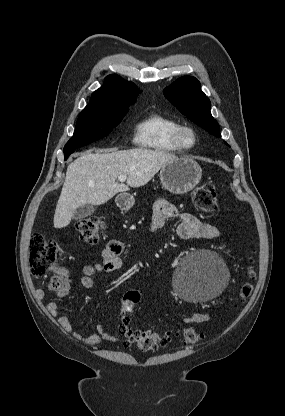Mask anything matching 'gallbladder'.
<instances>
[{
	"label": "gallbladder",
	"mask_w": 285,
	"mask_h": 416,
	"mask_svg": "<svg viewBox=\"0 0 285 416\" xmlns=\"http://www.w3.org/2000/svg\"><path fill=\"white\" fill-rule=\"evenodd\" d=\"M94 212V206H91V204H86V206H81V208H77L75 214H73L72 220H77V222H81L83 218H88V216H92Z\"/></svg>",
	"instance_id": "1"
}]
</instances>
